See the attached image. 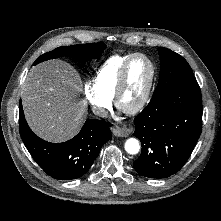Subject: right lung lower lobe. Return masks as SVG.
<instances>
[{
  "mask_svg": "<svg viewBox=\"0 0 221 221\" xmlns=\"http://www.w3.org/2000/svg\"><path fill=\"white\" fill-rule=\"evenodd\" d=\"M20 136L35 162L55 179L70 180L88 172L101 147L112 138L111 124L88 119L81 131L69 141L49 143L36 136L29 128L20 101Z\"/></svg>",
  "mask_w": 221,
  "mask_h": 221,
  "instance_id": "obj_1",
  "label": "right lung lower lobe"
}]
</instances>
